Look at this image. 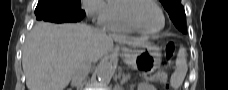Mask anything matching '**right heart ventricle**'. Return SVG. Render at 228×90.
<instances>
[{
  "instance_id": "1",
  "label": "right heart ventricle",
  "mask_w": 228,
  "mask_h": 90,
  "mask_svg": "<svg viewBox=\"0 0 228 90\" xmlns=\"http://www.w3.org/2000/svg\"><path fill=\"white\" fill-rule=\"evenodd\" d=\"M129 3L130 0L108 1V17L104 24L108 30L127 33L139 32L124 18V9Z\"/></svg>"
}]
</instances>
